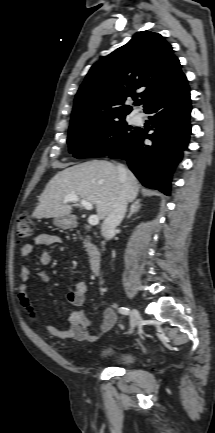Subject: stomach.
Instances as JSON below:
<instances>
[{
  "mask_svg": "<svg viewBox=\"0 0 215 433\" xmlns=\"http://www.w3.org/2000/svg\"><path fill=\"white\" fill-rule=\"evenodd\" d=\"M54 225L62 229H70L75 226L76 220L73 216H59L55 217Z\"/></svg>",
  "mask_w": 215,
  "mask_h": 433,
  "instance_id": "0dacf381",
  "label": "stomach"
}]
</instances>
